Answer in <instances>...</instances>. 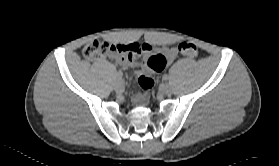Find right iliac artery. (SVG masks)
Instances as JSON below:
<instances>
[{
	"mask_svg": "<svg viewBox=\"0 0 279 166\" xmlns=\"http://www.w3.org/2000/svg\"><path fill=\"white\" fill-rule=\"evenodd\" d=\"M122 77H123V73H122L121 71H119V72L117 73V78H118V80H122Z\"/></svg>",
	"mask_w": 279,
	"mask_h": 166,
	"instance_id": "obj_1",
	"label": "right iliac artery"
}]
</instances>
